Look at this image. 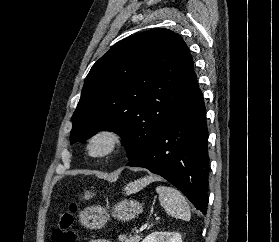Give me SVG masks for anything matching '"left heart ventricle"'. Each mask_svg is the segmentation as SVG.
Instances as JSON below:
<instances>
[{"instance_id": "obj_1", "label": "left heart ventricle", "mask_w": 279, "mask_h": 242, "mask_svg": "<svg viewBox=\"0 0 279 242\" xmlns=\"http://www.w3.org/2000/svg\"><path fill=\"white\" fill-rule=\"evenodd\" d=\"M105 146L104 141H98L94 144L93 150L94 152H100Z\"/></svg>"}]
</instances>
